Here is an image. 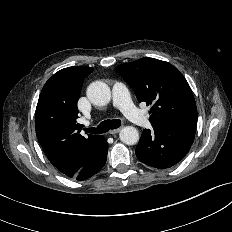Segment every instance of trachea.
<instances>
[{"label": "trachea", "mask_w": 232, "mask_h": 232, "mask_svg": "<svg viewBox=\"0 0 232 232\" xmlns=\"http://www.w3.org/2000/svg\"><path fill=\"white\" fill-rule=\"evenodd\" d=\"M121 121L119 119H113V120H104L101 122L97 128L92 127V128H85L84 130L87 133H92V134H102L108 132L110 129H116L120 127Z\"/></svg>", "instance_id": "obj_1"}]
</instances>
